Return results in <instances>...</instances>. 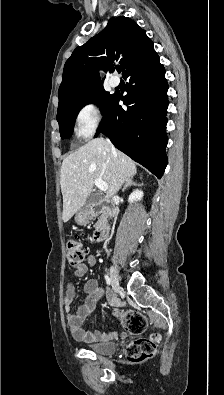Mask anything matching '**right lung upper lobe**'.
Returning <instances> with one entry per match:
<instances>
[{
  "label": "right lung upper lobe",
  "mask_w": 224,
  "mask_h": 395,
  "mask_svg": "<svg viewBox=\"0 0 224 395\" xmlns=\"http://www.w3.org/2000/svg\"><path fill=\"white\" fill-rule=\"evenodd\" d=\"M152 49V41L135 21L124 16L111 18L99 34L78 46L66 61L58 108L71 98L101 86L99 69L113 72L118 62L124 75Z\"/></svg>",
  "instance_id": "obj_1"
}]
</instances>
